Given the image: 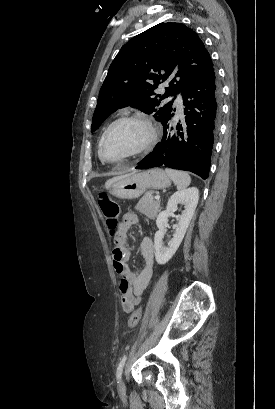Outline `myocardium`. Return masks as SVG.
<instances>
[{
  "mask_svg": "<svg viewBox=\"0 0 275 409\" xmlns=\"http://www.w3.org/2000/svg\"><path fill=\"white\" fill-rule=\"evenodd\" d=\"M121 123H135V124L140 125L144 130V136L142 140L140 141V143L130 152L126 153L125 155L121 157L136 156L144 152L145 150H147L153 144L155 137H156V131L151 121L148 118L141 116V115H126V116H122L116 119L115 121H113L108 126V128L105 130L99 142L98 153L100 157H105L103 154V145H104V142L107 136L109 135V133L115 126Z\"/></svg>",
  "mask_w": 275,
  "mask_h": 409,
  "instance_id": "1",
  "label": "myocardium"
}]
</instances>
